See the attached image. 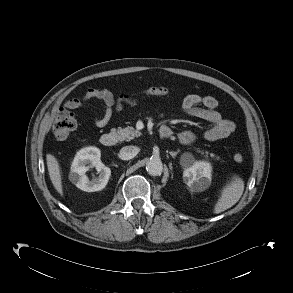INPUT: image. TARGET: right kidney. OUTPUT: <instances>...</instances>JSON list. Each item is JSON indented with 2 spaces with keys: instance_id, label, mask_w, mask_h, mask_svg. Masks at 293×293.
I'll use <instances>...</instances> for the list:
<instances>
[{
  "instance_id": "1",
  "label": "right kidney",
  "mask_w": 293,
  "mask_h": 293,
  "mask_svg": "<svg viewBox=\"0 0 293 293\" xmlns=\"http://www.w3.org/2000/svg\"><path fill=\"white\" fill-rule=\"evenodd\" d=\"M100 157L101 153L97 147H86L78 151L71 165L70 181L86 192L104 189L109 181L111 170L102 163ZM89 165L95 167L99 173V176L92 180H89L86 175Z\"/></svg>"
}]
</instances>
